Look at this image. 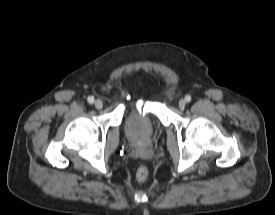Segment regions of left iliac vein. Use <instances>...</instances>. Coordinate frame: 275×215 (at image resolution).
I'll return each mask as SVG.
<instances>
[{"label": "left iliac vein", "mask_w": 275, "mask_h": 215, "mask_svg": "<svg viewBox=\"0 0 275 215\" xmlns=\"http://www.w3.org/2000/svg\"><path fill=\"white\" fill-rule=\"evenodd\" d=\"M185 106H186L185 100H183V99L179 100V102H178V107H179L181 110H183V109L185 108Z\"/></svg>", "instance_id": "1"}]
</instances>
